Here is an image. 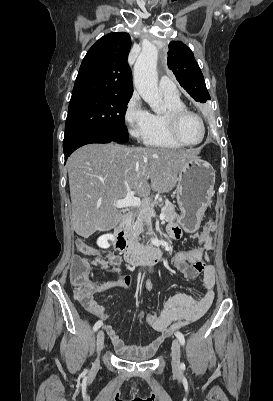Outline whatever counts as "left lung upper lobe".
Masks as SVG:
<instances>
[{"instance_id": "obj_1", "label": "left lung upper lobe", "mask_w": 273, "mask_h": 401, "mask_svg": "<svg viewBox=\"0 0 273 401\" xmlns=\"http://www.w3.org/2000/svg\"><path fill=\"white\" fill-rule=\"evenodd\" d=\"M167 64L195 101L204 103L210 100L203 74L188 46L180 41L170 42Z\"/></svg>"}]
</instances>
